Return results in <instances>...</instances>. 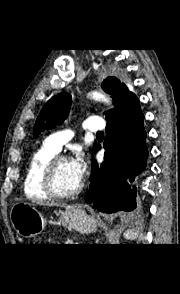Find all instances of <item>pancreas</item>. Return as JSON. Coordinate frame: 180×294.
<instances>
[{
	"label": "pancreas",
	"instance_id": "cf45deb5",
	"mask_svg": "<svg viewBox=\"0 0 180 294\" xmlns=\"http://www.w3.org/2000/svg\"><path fill=\"white\" fill-rule=\"evenodd\" d=\"M66 244H73L72 242H67Z\"/></svg>",
	"mask_w": 180,
	"mask_h": 294
}]
</instances>
